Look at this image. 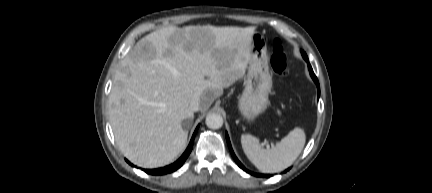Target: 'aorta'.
Masks as SVG:
<instances>
[{"label":"aorta","mask_w":432,"mask_h":193,"mask_svg":"<svg viewBox=\"0 0 432 193\" xmlns=\"http://www.w3.org/2000/svg\"><path fill=\"white\" fill-rule=\"evenodd\" d=\"M205 123L210 129H219L223 125V118L218 113H209L206 116Z\"/></svg>","instance_id":"aorta-1"}]
</instances>
